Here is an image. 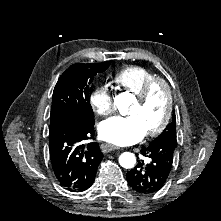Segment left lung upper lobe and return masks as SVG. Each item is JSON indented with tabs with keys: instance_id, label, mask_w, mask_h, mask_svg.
<instances>
[{
	"instance_id": "left-lung-upper-lobe-1",
	"label": "left lung upper lobe",
	"mask_w": 221,
	"mask_h": 221,
	"mask_svg": "<svg viewBox=\"0 0 221 221\" xmlns=\"http://www.w3.org/2000/svg\"><path fill=\"white\" fill-rule=\"evenodd\" d=\"M162 139H170L176 142V117L175 112L173 114L172 122L169 123L164 131L152 142H156Z\"/></svg>"
}]
</instances>
